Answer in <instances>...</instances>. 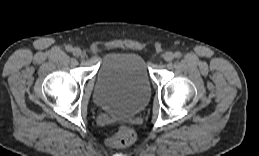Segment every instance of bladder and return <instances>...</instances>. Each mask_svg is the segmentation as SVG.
<instances>
[{"label": "bladder", "mask_w": 259, "mask_h": 156, "mask_svg": "<svg viewBox=\"0 0 259 156\" xmlns=\"http://www.w3.org/2000/svg\"><path fill=\"white\" fill-rule=\"evenodd\" d=\"M151 94V78L144 58L133 52H112L101 62L94 100L102 109L118 115L141 110Z\"/></svg>", "instance_id": "obj_1"}]
</instances>
